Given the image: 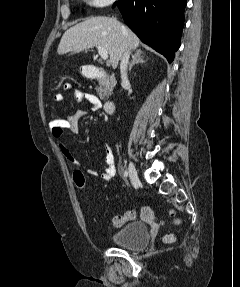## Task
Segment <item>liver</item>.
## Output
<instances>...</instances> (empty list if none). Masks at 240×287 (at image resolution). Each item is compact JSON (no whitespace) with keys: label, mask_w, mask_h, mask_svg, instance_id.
Here are the masks:
<instances>
[{"label":"liver","mask_w":240,"mask_h":287,"mask_svg":"<svg viewBox=\"0 0 240 287\" xmlns=\"http://www.w3.org/2000/svg\"><path fill=\"white\" fill-rule=\"evenodd\" d=\"M139 38L117 19L99 16L69 28L62 36L57 49L59 55L81 49L103 46L110 55V63L115 68L127 47L136 49Z\"/></svg>","instance_id":"obj_1"}]
</instances>
